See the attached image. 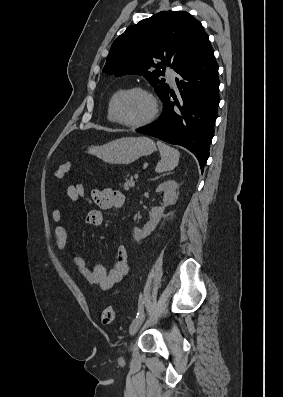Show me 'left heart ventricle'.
<instances>
[{"mask_svg":"<svg viewBox=\"0 0 283 397\" xmlns=\"http://www.w3.org/2000/svg\"><path fill=\"white\" fill-rule=\"evenodd\" d=\"M150 99L142 93H130L119 100L118 114L126 122H139L151 113Z\"/></svg>","mask_w":283,"mask_h":397,"instance_id":"1","label":"left heart ventricle"}]
</instances>
